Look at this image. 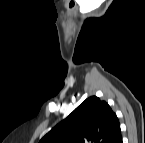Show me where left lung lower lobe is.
Listing matches in <instances>:
<instances>
[{
  "instance_id": "obj_1",
  "label": "left lung lower lobe",
  "mask_w": 145,
  "mask_h": 143,
  "mask_svg": "<svg viewBox=\"0 0 145 143\" xmlns=\"http://www.w3.org/2000/svg\"><path fill=\"white\" fill-rule=\"evenodd\" d=\"M116 143H123L122 142V137H119L118 140L116 141Z\"/></svg>"
}]
</instances>
